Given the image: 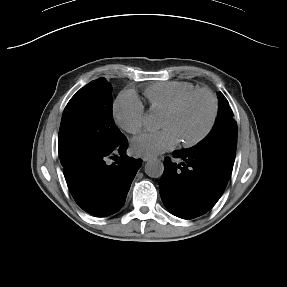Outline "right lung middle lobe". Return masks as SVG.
Instances as JSON below:
<instances>
[{"instance_id": "obj_1", "label": "right lung middle lobe", "mask_w": 287, "mask_h": 287, "mask_svg": "<svg viewBox=\"0 0 287 287\" xmlns=\"http://www.w3.org/2000/svg\"><path fill=\"white\" fill-rule=\"evenodd\" d=\"M112 86L105 78L81 88L64 109L58 137L63 167L81 157L115 147L124 135L112 117Z\"/></svg>"}]
</instances>
